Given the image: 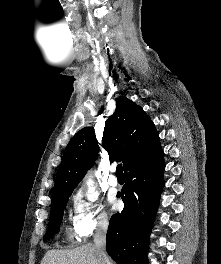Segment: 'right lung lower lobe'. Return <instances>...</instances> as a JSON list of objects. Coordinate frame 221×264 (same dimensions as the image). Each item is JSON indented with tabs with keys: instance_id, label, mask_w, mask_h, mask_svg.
Wrapping results in <instances>:
<instances>
[{
	"instance_id": "right-lung-lower-lobe-1",
	"label": "right lung lower lobe",
	"mask_w": 221,
	"mask_h": 264,
	"mask_svg": "<svg viewBox=\"0 0 221 264\" xmlns=\"http://www.w3.org/2000/svg\"><path fill=\"white\" fill-rule=\"evenodd\" d=\"M164 152L125 172V208L114 214L106 236L107 253L117 264H148L150 233L164 187Z\"/></svg>"
}]
</instances>
